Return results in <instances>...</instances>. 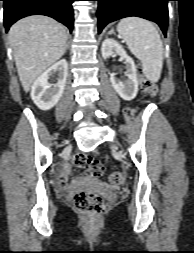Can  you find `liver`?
<instances>
[{
    "instance_id": "liver-1",
    "label": "liver",
    "mask_w": 194,
    "mask_h": 253,
    "mask_svg": "<svg viewBox=\"0 0 194 253\" xmlns=\"http://www.w3.org/2000/svg\"><path fill=\"white\" fill-rule=\"evenodd\" d=\"M9 42L19 79L28 92L36 79L66 50L65 27L54 19L33 15L16 22L9 31Z\"/></svg>"
}]
</instances>
